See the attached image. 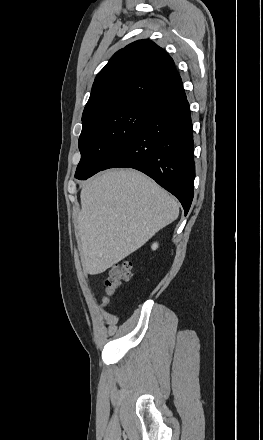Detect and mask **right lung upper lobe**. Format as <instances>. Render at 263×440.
I'll list each match as a JSON object with an SVG mask.
<instances>
[{"label":"right lung upper lobe","mask_w":263,"mask_h":440,"mask_svg":"<svg viewBox=\"0 0 263 440\" xmlns=\"http://www.w3.org/2000/svg\"><path fill=\"white\" fill-rule=\"evenodd\" d=\"M172 58L150 40H138L116 52L99 72L82 121L129 103L153 105L182 87Z\"/></svg>","instance_id":"right-lung-upper-lobe-1"}]
</instances>
